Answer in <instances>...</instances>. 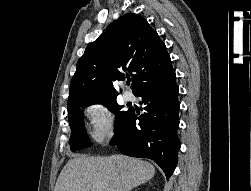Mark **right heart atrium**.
<instances>
[{
	"label": "right heart atrium",
	"mask_w": 251,
	"mask_h": 191,
	"mask_svg": "<svg viewBox=\"0 0 251 191\" xmlns=\"http://www.w3.org/2000/svg\"><path fill=\"white\" fill-rule=\"evenodd\" d=\"M90 139L97 145L108 143L115 134V125L112 112L104 104L94 102L84 109Z\"/></svg>",
	"instance_id": "d8ad5b80"
}]
</instances>
